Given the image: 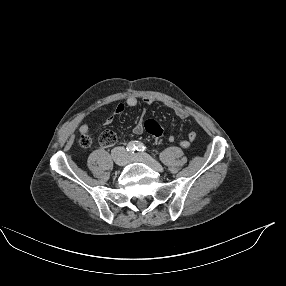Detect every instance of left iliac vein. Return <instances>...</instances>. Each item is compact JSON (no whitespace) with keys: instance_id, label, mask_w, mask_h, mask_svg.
Masks as SVG:
<instances>
[{"instance_id":"4c4485c4","label":"left iliac vein","mask_w":286,"mask_h":286,"mask_svg":"<svg viewBox=\"0 0 286 286\" xmlns=\"http://www.w3.org/2000/svg\"><path fill=\"white\" fill-rule=\"evenodd\" d=\"M130 161L142 162L158 172H163L162 166L147 154L138 153V154L131 155Z\"/></svg>"}]
</instances>
